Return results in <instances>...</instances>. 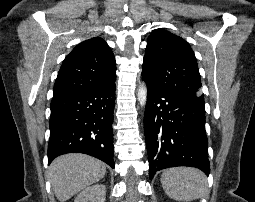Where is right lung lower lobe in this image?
Listing matches in <instances>:
<instances>
[{
    "instance_id": "right-lung-lower-lobe-1",
    "label": "right lung lower lobe",
    "mask_w": 255,
    "mask_h": 202,
    "mask_svg": "<svg viewBox=\"0 0 255 202\" xmlns=\"http://www.w3.org/2000/svg\"><path fill=\"white\" fill-rule=\"evenodd\" d=\"M115 81L94 89L54 96L51 102L48 162L79 152L112 168Z\"/></svg>"
}]
</instances>
